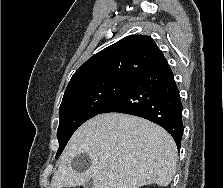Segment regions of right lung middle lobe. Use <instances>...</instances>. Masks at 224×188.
Returning a JSON list of instances; mask_svg holds the SVG:
<instances>
[{
    "instance_id": "obj_1",
    "label": "right lung middle lobe",
    "mask_w": 224,
    "mask_h": 188,
    "mask_svg": "<svg viewBox=\"0 0 224 188\" xmlns=\"http://www.w3.org/2000/svg\"><path fill=\"white\" fill-rule=\"evenodd\" d=\"M134 79L104 78L67 87L59 108L57 138L62 153L74 131L122 93Z\"/></svg>"
}]
</instances>
